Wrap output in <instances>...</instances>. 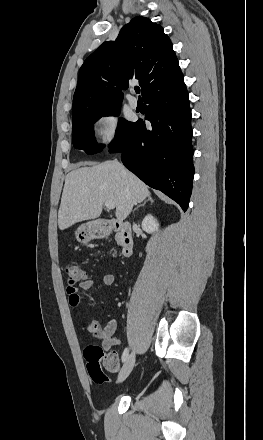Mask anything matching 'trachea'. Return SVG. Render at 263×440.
Segmentation results:
<instances>
[{
    "label": "trachea",
    "instance_id": "trachea-1",
    "mask_svg": "<svg viewBox=\"0 0 263 440\" xmlns=\"http://www.w3.org/2000/svg\"><path fill=\"white\" fill-rule=\"evenodd\" d=\"M135 92H136L137 94H139V93H140V88H139V87H135Z\"/></svg>",
    "mask_w": 263,
    "mask_h": 440
}]
</instances>
